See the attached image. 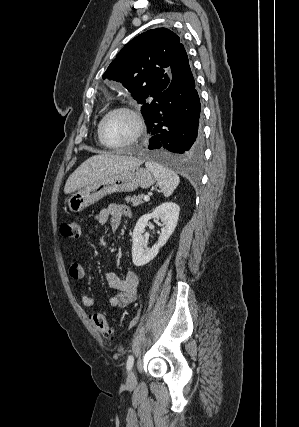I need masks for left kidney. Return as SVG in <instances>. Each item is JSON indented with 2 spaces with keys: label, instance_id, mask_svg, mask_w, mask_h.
Instances as JSON below:
<instances>
[{
  "label": "left kidney",
  "instance_id": "obj_1",
  "mask_svg": "<svg viewBox=\"0 0 299 427\" xmlns=\"http://www.w3.org/2000/svg\"><path fill=\"white\" fill-rule=\"evenodd\" d=\"M180 208L173 202H165L156 207L153 212L139 218L132 234V261L135 266H143L153 260L173 234L179 218ZM150 219L160 220L163 224L158 242L152 248H144L142 233Z\"/></svg>",
  "mask_w": 299,
  "mask_h": 427
}]
</instances>
